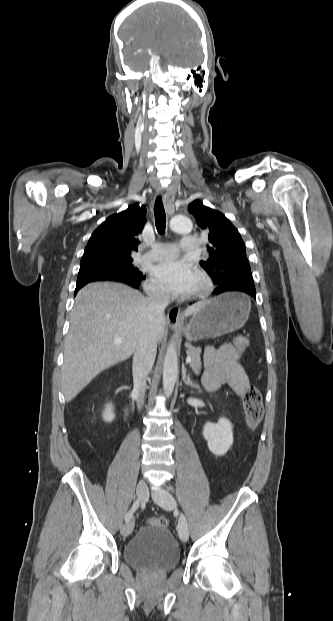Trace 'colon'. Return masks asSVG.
I'll use <instances>...</instances> for the list:
<instances>
[{
  "instance_id": "colon-1",
  "label": "colon",
  "mask_w": 333,
  "mask_h": 621,
  "mask_svg": "<svg viewBox=\"0 0 333 621\" xmlns=\"http://www.w3.org/2000/svg\"><path fill=\"white\" fill-rule=\"evenodd\" d=\"M235 346L237 351L241 353L247 348L248 342L245 338H238ZM243 407L249 426L255 427L260 422L264 411L262 394L256 386L249 385L247 387L243 394ZM148 522L162 527L167 526V520L162 517L150 518Z\"/></svg>"
}]
</instances>
